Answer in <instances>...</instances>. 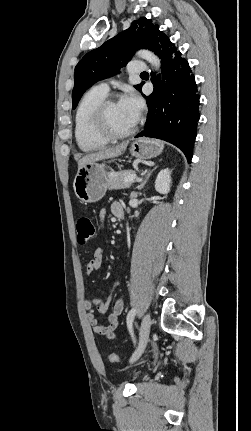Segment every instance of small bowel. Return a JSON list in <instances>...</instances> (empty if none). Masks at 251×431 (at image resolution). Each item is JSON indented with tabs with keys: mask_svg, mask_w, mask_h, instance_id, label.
Returning <instances> with one entry per match:
<instances>
[{
	"mask_svg": "<svg viewBox=\"0 0 251 431\" xmlns=\"http://www.w3.org/2000/svg\"><path fill=\"white\" fill-rule=\"evenodd\" d=\"M112 213L117 217L119 213H124L123 207L119 203H114L111 206ZM105 215V211H101V218ZM102 247H97L94 251L93 258L88 261L85 268V274L91 275L94 271L101 268L103 263ZM118 287L116 282L113 286L112 293L107 297L105 301L98 298L85 297L83 299V307L86 310V318L91 325L93 331L101 336L113 338L115 336V330L119 325V317L124 309V302L122 299H117L110 311V305L113 298V292ZM107 316L108 323L101 324L99 318Z\"/></svg>",
	"mask_w": 251,
	"mask_h": 431,
	"instance_id": "obj_1",
	"label": "small bowel"
}]
</instances>
